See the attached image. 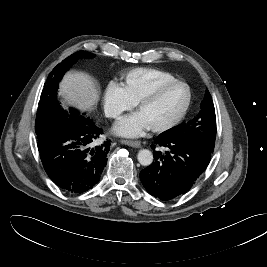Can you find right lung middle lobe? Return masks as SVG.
<instances>
[{
  "mask_svg": "<svg viewBox=\"0 0 267 267\" xmlns=\"http://www.w3.org/2000/svg\"><path fill=\"white\" fill-rule=\"evenodd\" d=\"M94 54L79 51L59 63L49 74L40 97L37 110L35 131L37 136L45 133L54 120L69 117L75 121L77 118H84L74 109L67 113L61 108L57 99V90L59 82L65 72L81 57H93Z\"/></svg>",
  "mask_w": 267,
  "mask_h": 267,
  "instance_id": "right-lung-middle-lobe-1",
  "label": "right lung middle lobe"
}]
</instances>
